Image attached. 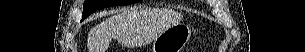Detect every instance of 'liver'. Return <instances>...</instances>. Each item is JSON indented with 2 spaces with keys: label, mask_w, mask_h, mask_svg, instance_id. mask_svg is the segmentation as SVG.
Instances as JSON below:
<instances>
[{
  "label": "liver",
  "mask_w": 305,
  "mask_h": 52,
  "mask_svg": "<svg viewBox=\"0 0 305 52\" xmlns=\"http://www.w3.org/2000/svg\"><path fill=\"white\" fill-rule=\"evenodd\" d=\"M181 15L168 11L162 15L156 25L152 40L156 39L166 29L179 24ZM147 15L143 11H123L95 25L88 34L87 47L89 52H106L112 39L139 40L145 37ZM152 30V28H151Z\"/></svg>",
  "instance_id": "1"
}]
</instances>
